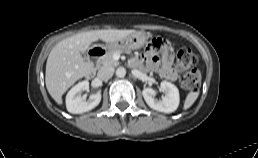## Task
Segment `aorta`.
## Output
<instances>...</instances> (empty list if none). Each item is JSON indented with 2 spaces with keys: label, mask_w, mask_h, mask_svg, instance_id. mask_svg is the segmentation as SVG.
Returning <instances> with one entry per match:
<instances>
[{
  "label": "aorta",
  "mask_w": 258,
  "mask_h": 158,
  "mask_svg": "<svg viewBox=\"0 0 258 158\" xmlns=\"http://www.w3.org/2000/svg\"><path fill=\"white\" fill-rule=\"evenodd\" d=\"M126 75V69L124 67H119L116 70V76L119 78H123Z\"/></svg>",
  "instance_id": "1"
}]
</instances>
